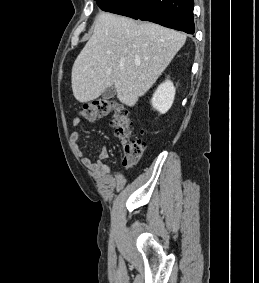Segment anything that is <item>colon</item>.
I'll return each instance as SVG.
<instances>
[{
  "mask_svg": "<svg viewBox=\"0 0 259 283\" xmlns=\"http://www.w3.org/2000/svg\"><path fill=\"white\" fill-rule=\"evenodd\" d=\"M112 116L116 136L122 142V161L125 166L135 165L141 158L145 143L133 137V123L129 109L123 103L110 98L95 100L84 104L79 116L88 121Z\"/></svg>",
  "mask_w": 259,
  "mask_h": 283,
  "instance_id": "1",
  "label": "colon"
}]
</instances>
